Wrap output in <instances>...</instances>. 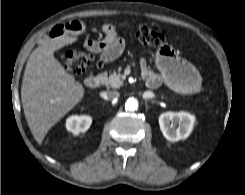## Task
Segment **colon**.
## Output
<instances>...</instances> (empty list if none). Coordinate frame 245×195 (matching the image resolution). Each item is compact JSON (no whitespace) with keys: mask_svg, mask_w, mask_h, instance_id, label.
Segmentation results:
<instances>
[{"mask_svg":"<svg viewBox=\"0 0 245 195\" xmlns=\"http://www.w3.org/2000/svg\"><path fill=\"white\" fill-rule=\"evenodd\" d=\"M136 39L142 46L155 47L160 45L164 38L161 33L141 24L137 28ZM96 54L100 62V54ZM61 59L65 70L77 75L89 70L95 55L80 50H70L65 52Z\"/></svg>","mask_w":245,"mask_h":195,"instance_id":"obj_1","label":"colon"}]
</instances>
